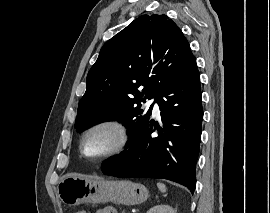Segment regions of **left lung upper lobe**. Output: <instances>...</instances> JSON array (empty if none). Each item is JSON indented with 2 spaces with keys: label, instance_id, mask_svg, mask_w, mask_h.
<instances>
[{
  "label": "left lung upper lobe",
  "instance_id": "1",
  "mask_svg": "<svg viewBox=\"0 0 270 213\" xmlns=\"http://www.w3.org/2000/svg\"><path fill=\"white\" fill-rule=\"evenodd\" d=\"M196 63L182 31L166 15H142L108 40L87 75L75 128L117 120L136 137L151 110L141 102L158 96L176 77ZM140 86L144 88L141 89Z\"/></svg>",
  "mask_w": 270,
  "mask_h": 213
}]
</instances>
